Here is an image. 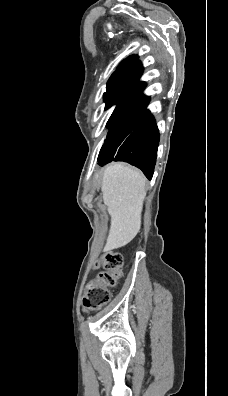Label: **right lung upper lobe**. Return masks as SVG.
Returning a JSON list of instances; mask_svg holds the SVG:
<instances>
[{"label": "right lung upper lobe", "mask_w": 228, "mask_h": 396, "mask_svg": "<svg viewBox=\"0 0 228 396\" xmlns=\"http://www.w3.org/2000/svg\"><path fill=\"white\" fill-rule=\"evenodd\" d=\"M142 71L141 62L138 60V56H129L125 60H123L117 69L113 72L110 79H115L121 76L129 75L132 73H136Z\"/></svg>", "instance_id": "right-lung-upper-lobe-1"}]
</instances>
